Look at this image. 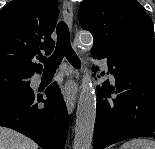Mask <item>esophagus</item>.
<instances>
[{"label": "esophagus", "instance_id": "1", "mask_svg": "<svg viewBox=\"0 0 155 149\" xmlns=\"http://www.w3.org/2000/svg\"><path fill=\"white\" fill-rule=\"evenodd\" d=\"M63 15L64 19L67 22L70 31L73 33V6L70 1H64L63 2ZM73 48L77 50L76 43L73 40L72 42ZM75 77H76V71L74 67L70 64L67 65V86L64 91L65 95V101L67 106V111L69 114H71L75 108L76 104V91L77 87L75 84Z\"/></svg>", "mask_w": 155, "mask_h": 149}]
</instances>
